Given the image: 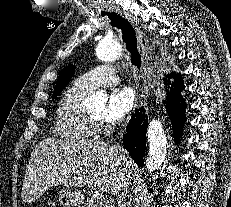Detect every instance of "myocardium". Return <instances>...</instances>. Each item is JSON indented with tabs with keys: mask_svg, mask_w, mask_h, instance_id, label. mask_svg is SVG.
<instances>
[{
	"mask_svg": "<svg viewBox=\"0 0 231 207\" xmlns=\"http://www.w3.org/2000/svg\"><path fill=\"white\" fill-rule=\"evenodd\" d=\"M89 118V117H88ZM90 119V118H89ZM93 123H95L96 125H98L99 124V122H100V119H98V118H91L90 119Z\"/></svg>",
	"mask_w": 231,
	"mask_h": 207,
	"instance_id": "obj_1",
	"label": "myocardium"
}]
</instances>
